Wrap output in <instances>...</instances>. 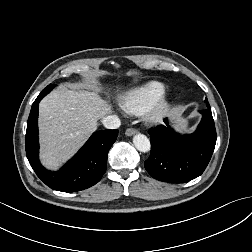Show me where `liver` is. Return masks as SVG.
Instances as JSON below:
<instances>
[{"mask_svg": "<svg viewBox=\"0 0 252 252\" xmlns=\"http://www.w3.org/2000/svg\"><path fill=\"white\" fill-rule=\"evenodd\" d=\"M119 89V87H117ZM93 91L59 89L42 99L39 106L41 161L59 168L96 131L98 120L112 113L111 105Z\"/></svg>", "mask_w": 252, "mask_h": 252, "instance_id": "1", "label": "liver"}]
</instances>
